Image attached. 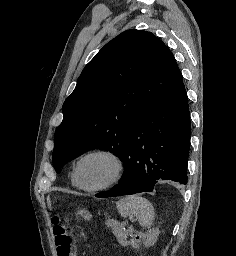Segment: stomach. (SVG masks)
<instances>
[{
	"label": "stomach",
	"instance_id": "stomach-1",
	"mask_svg": "<svg viewBox=\"0 0 236 256\" xmlns=\"http://www.w3.org/2000/svg\"><path fill=\"white\" fill-rule=\"evenodd\" d=\"M78 214L81 215L85 219H90L91 218V215L86 210H80V211H78Z\"/></svg>",
	"mask_w": 236,
	"mask_h": 256
}]
</instances>
